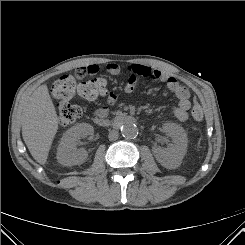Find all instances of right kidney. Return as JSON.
<instances>
[{
  "instance_id": "ca27d5eb",
  "label": "right kidney",
  "mask_w": 245,
  "mask_h": 245,
  "mask_svg": "<svg viewBox=\"0 0 245 245\" xmlns=\"http://www.w3.org/2000/svg\"><path fill=\"white\" fill-rule=\"evenodd\" d=\"M94 129L90 124L80 123L68 129L61 138L57 149V160L64 166L82 164L87 158L85 150H77V141L81 138L92 136Z\"/></svg>"
}]
</instances>
